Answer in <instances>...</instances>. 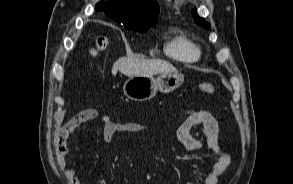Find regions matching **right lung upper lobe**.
<instances>
[{
  "label": "right lung upper lobe",
  "mask_w": 293,
  "mask_h": 184,
  "mask_svg": "<svg viewBox=\"0 0 293 184\" xmlns=\"http://www.w3.org/2000/svg\"><path fill=\"white\" fill-rule=\"evenodd\" d=\"M95 10L105 11L107 16L125 25H151L159 14L155 0H107L101 1Z\"/></svg>",
  "instance_id": "right-lung-upper-lobe-1"
}]
</instances>
